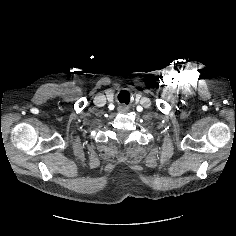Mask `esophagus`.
<instances>
[{"label":"esophagus","mask_w":236,"mask_h":236,"mask_svg":"<svg viewBox=\"0 0 236 236\" xmlns=\"http://www.w3.org/2000/svg\"><path fill=\"white\" fill-rule=\"evenodd\" d=\"M121 109H122V110H125V107H124V106H122V107H121Z\"/></svg>","instance_id":"1"}]
</instances>
